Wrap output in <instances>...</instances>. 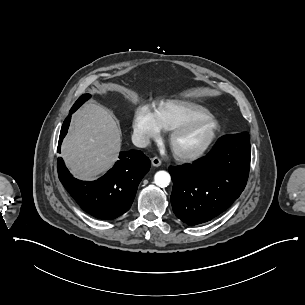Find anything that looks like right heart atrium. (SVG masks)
<instances>
[{"label":"right heart atrium","mask_w":305,"mask_h":305,"mask_svg":"<svg viewBox=\"0 0 305 305\" xmlns=\"http://www.w3.org/2000/svg\"><path fill=\"white\" fill-rule=\"evenodd\" d=\"M133 129L141 143H146L160 135L155 113L145 106L137 110L133 120Z\"/></svg>","instance_id":"right-heart-atrium-1"}]
</instances>
